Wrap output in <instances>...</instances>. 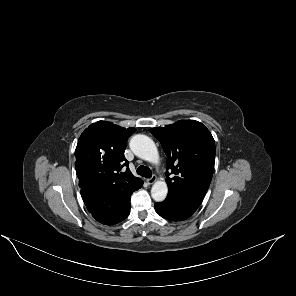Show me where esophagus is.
<instances>
[{"label": "esophagus", "mask_w": 296, "mask_h": 296, "mask_svg": "<svg viewBox=\"0 0 296 296\" xmlns=\"http://www.w3.org/2000/svg\"><path fill=\"white\" fill-rule=\"evenodd\" d=\"M156 180H157V177L155 175H153L151 178L147 179V183L149 185H152L156 182Z\"/></svg>", "instance_id": "esophagus-1"}]
</instances>
